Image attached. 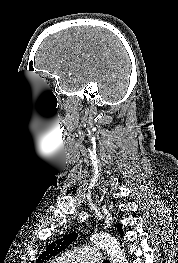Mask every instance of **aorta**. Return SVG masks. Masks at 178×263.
Masks as SVG:
<instances>
[{
  "instance_id": "obj_1",
  "label": "aorta",
  "mask_w": 178,
  "mask_h": 263,
  "mask_svg": "<svg viewBox=\"0 0 178 263\" xmlns=\"http://www.w3.org/2000/svg\"><path fill=\"white\" fill-rule=\"evenodd\" d=\"M91 241L106 250L110 256L111 263H128L127 259L121 250L117 240L106 233H95L91 237Z\"/></svg>"
}]
</instances>
